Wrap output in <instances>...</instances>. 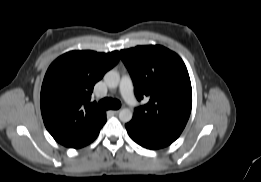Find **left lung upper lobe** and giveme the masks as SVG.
Returning <instances> with one entry per match:
<instances>
[{"label": "left lung upper lobe", "instance_id": "5c2ea615", "mask_svg": "<svg viewBox=\"0 0 261 182\" xmlns=\"http://www.w3.org/2000/svg\"><path fill=\"white\" fill-rule=\"evenodd\" d=\"M140 101L131 122L141 130L178 138L192 107V88L187 68L173 51L160 46H137L120 51Z\"/></svg>", "mask_w": 261, "mask_h": 182}]
</instances>
